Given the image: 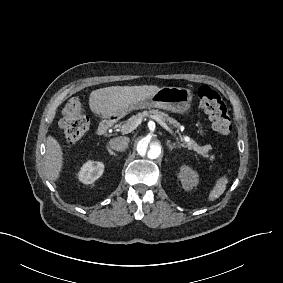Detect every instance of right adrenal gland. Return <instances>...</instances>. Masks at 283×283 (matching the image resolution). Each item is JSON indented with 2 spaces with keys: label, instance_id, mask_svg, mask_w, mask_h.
Instances as JSON below:
<instances>
[{
  "label": "right adrenal gland",
  "instance_id": "2a0ac1e0",
  "mask_svg": "<svg viewBox=\"0 0 283 283\" xmlns=\"http://www.w3.org/2000/svg\"><path fill=\"white\" fill-rule=\"evenodd\" d=\"M108 152L110 153V155L112 156H117L114 152H112L110 149H108Z\"/></svg>",
  "mask_w": 283,
  "mask_h": 283
}]
</instances>
